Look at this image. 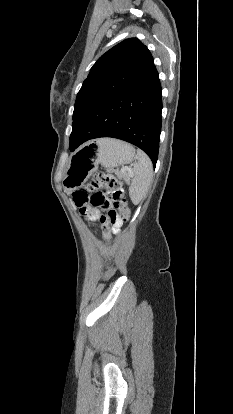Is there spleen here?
I'll list each match as a JSON object with an SVG mask.
<instances>
[{
    "label": "spleen",
    "mask_w": 233,
    "mask_h": 414,
    "mask_svg": "<svg viewBox=\"0 0 233 414\" xmlns=\"http://www.w3.org/2000/svg\"><path fill=\"white\" fill-rule=\"evenodd\" d=\"M138 160L133 164L134 178L129 187V196L134 205H138L146 196L153 178V165L142 150H137Z\"/></svg>",
    "instance_id": "spleen-1"
}]
</instances>
